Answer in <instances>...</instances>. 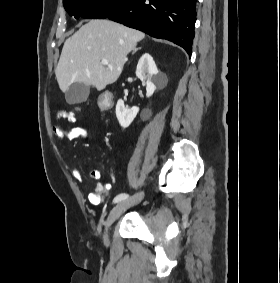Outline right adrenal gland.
Returning a JSON list of instances; mask_svg holds the SVG:
<instances>
[{
  "instance_id": "1",
  "label": "right adrenal gland",
  "mask_w": 280,
  "mask_h": 283,
  "mask_svg": "<svg viewBox=\"0 0 280 283\" xmlns=\"http://www.w3.org/2000/svg\"><path fill=\"white\" fill-rule=\"evenodd\" d=\"M139 49H141V48L139 47V48L134 49L132 54L136 53Z\"/></svg>"
}]
</instances>
